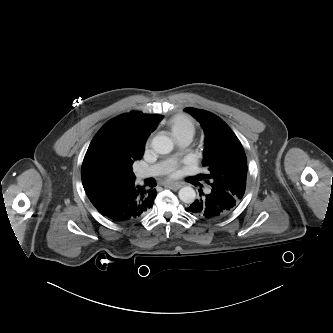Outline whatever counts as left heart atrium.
<instances>
[{"instance_id": "obj_1", "label": "left heart atrium", "mask_w": 333, "mask_h": 333, "mask_svg": "<svg viewBox=\"0 0 333 333\" xmlns=\"http://www.w3.org/2000/svg\"><path fill=\"white\" fill-rule=\"evenodd\" d=\"M177 174V172H172V175H176Z\"/></svg>"}]
</instances>
